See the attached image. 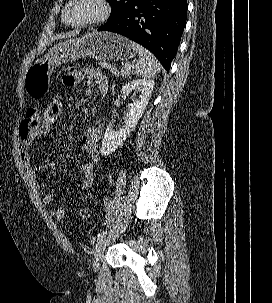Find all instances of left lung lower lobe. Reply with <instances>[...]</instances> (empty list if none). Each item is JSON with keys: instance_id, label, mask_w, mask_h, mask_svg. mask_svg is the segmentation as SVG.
<instances>
[{"instance_id": "left-lung-lower-lobe-1", "label": "left lung lower lobe", "mask_w": 272, "mask_h": 303, "mask_svg": "<svg viewBox=\"0 0 272 303\" xmlns=\"http://www.w3.org/2000/svg\"><path fill=\"white\" fill-rule=\"evenodd\" d=\"M187 0H138L98 31L121 34L150 50L169 71L186 25Z\"/></svg>"}]
</instances>
